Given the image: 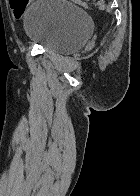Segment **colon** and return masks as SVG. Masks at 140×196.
Listing matches in <instances>:
<instances>
[{"label": "colon", "instance_id": "5ec220e1", "mask_svg": "<svg viewBox=\"0 0 140 196\" xmlns=\"http://www.w3.org/2000/svg\"><path fill=\"white\" fill-rule=\"evenodd\" d=\"M76 1H78L79 3H82L80 0H76ZM11 2H12L13 4L17 3L16 0H11Z\"/></svg>", "mask_w": 140, "mask_h": 196}]
</instances>
